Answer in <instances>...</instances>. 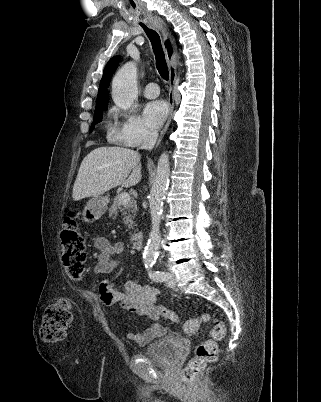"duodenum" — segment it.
I'll return each mask as SVG.
<instances>
[{
    "instance_id": "duodenum-1",
    "label": "duodenum",
    "mask_w": 321,
    "mask_h": 402,
    "mask_svg": "<svg viewBox=\"0 0 321 402\" xmlns=\"http://www.w3.org/2000/svg\"><path fill=\"white\" fill-rule=\"evenodd\" d=\"M129 243L134 249H141L143 246V234L141 232H135L130 235Z\"/></svg>"
}]
</instances>
